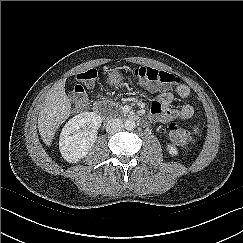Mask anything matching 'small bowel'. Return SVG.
Here are the masks:
<instances>
[{
	"label": "small bowel",
	"mask_w": 243,
	"mask_h": 243,
	"mask_svg": "<svg viewBox=\"0 0 243 243\" xmlns=\"http://www.w3.org/2000/svg\"><path fill=\"white\" fill-rule=\"evenodd\" d=\"M146 88L151 92H157L158 88L147 85ZM176 93L180 98H187L190 94V89L187 85L181 84L176 88ZM173 94L169 91H160L153 101L151 113L153 118L168 122L173 120H188L194 114V109L191 105H184L180 108H173Z\"/></svg>",
	"instance_id": "c3829d8e"
}]
</instances>
